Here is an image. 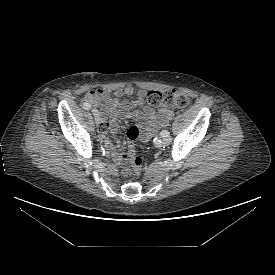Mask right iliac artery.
I'll list each match as a JSON object with an SVG mask.
<instances>
[{
  "label": "right iliac artery",
  "mask_w": 275,
  "mask_h": 275,
  "mask_svg": "<svg viewBox=\"0 0 275 275\" xmlns=\"http://www.w3.org/2000/svg\"><path fill=\"white\" fill-rule=\"evenodd\" d=\"M83 108L86 110H89L91 108V104L89 102H84L83 103Z\"/></svg>",
  "instance_id": "1"
}]
</instances>
